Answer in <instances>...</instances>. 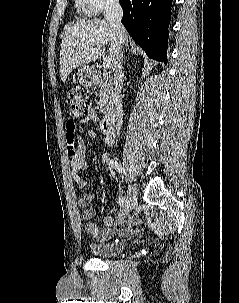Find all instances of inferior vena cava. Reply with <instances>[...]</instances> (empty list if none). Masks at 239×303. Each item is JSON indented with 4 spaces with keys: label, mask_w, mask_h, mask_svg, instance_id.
Here are the masks:
<instances>
[{
    "label": "inferior vena cava",
    "mask_w": 239,
    "mask_h": 303,
    "mask_svg": "<svg viewBox=\"0 0 239 303\" xmlns=\"http://www.w3.org/2000/svg\"><path fill=\"white\" fill-rule=\"evenodd\" d=\"M104 17L105 20L108 21L110 25L114 28L115 37L117 40L116 50H115V61L113 65V76H114L113 100L115 103L116 117L118 120V134H119V131L123 123L121 89L123 84L124 73H123V68L121 66V61H122L121 49L126 41L127 35L125 28L121 23V20L123 18V10L118 0L108 1L106 5Z\"/></svg>",
    "instance_id": "inferior-vena-cava-1"
}]
</instances>
